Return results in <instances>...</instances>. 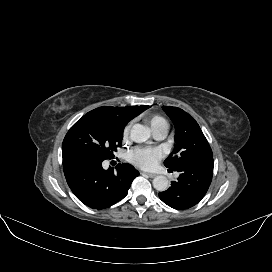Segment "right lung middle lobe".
I'll use <instances>...</instances> for the list:
<instances>
[{
  "mask_svg": "<svg viewBox=\"0 0 272 272\" xmlns=\"http://www.w3.org/2000/svg\"><path fill=\"white\" fill-rule=\"evenodd\" d=\"M126 123L116 114L94 109L80 118L66 134L62 157L104 161L121 146Z\"/></svg>",
  "mask_w": 272,
  "mask_h": 272,
  "instance_id": "dd1d6c3e",
  "label": "right lung middle lobe"
}]
</instances>
